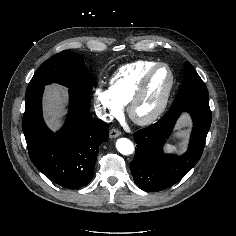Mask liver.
Segmentation results:
<instances>
[{"instance_id":"liver-1","label":"liver","mask_w":236,"mask_h":236,"mask_svg":"<svg viewBox=\"0 0 236 236\" xmlns=\"http://www.w3.org/2000/svg\"><path fill=\"white\" fill-rule=\"evenodd\" d=\"M66 100L62 87L57 85L47 87L44 98L45 117L53 129H57L61 125Z\"/></svg>"}]
</instances>
